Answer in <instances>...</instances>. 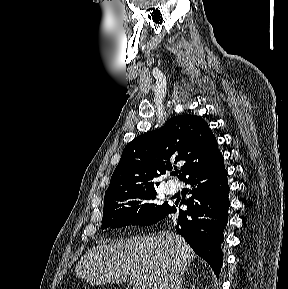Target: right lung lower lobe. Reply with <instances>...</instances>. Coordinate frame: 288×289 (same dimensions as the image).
I'll list each match as a JSON object with an SVG mask.
<instances>
[{
  "instance_id": "98d812e1",
  "label": "right lung lower lobe",
  "mask_w": 288,
  "mask_h": 289,
  "mask_svg": "<svg viewBox=\"0 0 288 289\" xmlns=\"http://www.w3.org/2000/svg\"><path fill=\"white\" fill-rule=\"evenodd\" d=\"M227 175L224 158L218 152L183 180L191 186L189 191L192 196L184 202L188 209H178L182 202H176L162 217L178 213L176 231L217 275L223 263L220 247L230 205Z\"/></svg>"
}]
</instances>
